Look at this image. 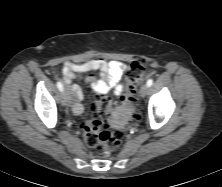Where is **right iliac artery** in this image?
Segmentation results:
<instances>
[{
	"label": "right iliac artery",
	"instance_id": "right-iliac-artery-1",
	"mask_svg": "<svg viewBox=\"0 0 222 187\" xmlns=\"http://www.w3.org/2000/svg\"><path fill=\"white\" fill-rule=\"evenodd\" d=\"M57 87L60 91H63V84L60 81L57 82Z\"/></svg>",
	"mask_w": 222,
	"mask_h": 187
}]
</instances>
